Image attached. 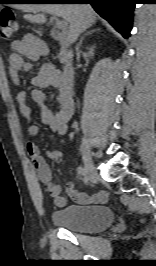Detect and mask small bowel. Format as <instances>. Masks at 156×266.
I'll use <instances>...</instances> for the list:
<instances>
[{
  "label": "small bowel",
  "instance_id": "c3829d8e",
  "mask_svg": "<svg viewBox=\"0 0 156 266\" xmlns=\"http://www.w3.org/2000/svg\"><path fill=\"white\" fill-rule=\"evenodd\" d=\"M11 48L12 53L8 57V74L11 81L18 84L20 74L27 71L31 66L25 59L28 61L37 60L43 54L44 49L33 35H26L22 39L14 41ZM32 83L36 89L30 92L21 91L16 97L20 113L28 122V135L34 137L39 133L38 125L31 121V107L29 105V101H31L38 106L42 123L58 135L64 136L68 129L67 124L74 112V102L71 91L66 90L61 84L60 72L52 65H44L33 78ZM48 87L57 89L58 109L56 111L49 109L44 104L48 95L43 89ZM26 151L35 167L38 179L44 185L47 193L53 197L55 205L58 207L65 206L68 198L61 193L60 185L53 180L51 168L41 155L38 146L32 141H28ZM47 156L52 160L60 161L63 157V150H49ZM67 195L79 204H102L108 200V195L104 191L89 196L78 191L73 184L68 185Z\"/></svg>",
  "mask_w": 156,
  "mask_h": 266
}]
</instances>
